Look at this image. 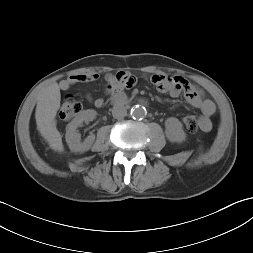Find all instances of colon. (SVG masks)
<instances>
[{
	"label": "colon",
	"instance_id": "obj_1",
	"mask_svg": "<svg viewBox=\"0 0 253 253\" xmlns=\"http://www.w3.org/2000/svg\"><path fill=\"white\" fill-rule=\"evenodd\" d=\"M82 109L81 103L72 96H66L63 99L60 108V118L63 121H70L73 119ZM182 122L189 132H197L201 128V120L194 115H184Z\"/></svg>",
	"mask_w": 253,
	"mask_h": 253
}]
</instances>
